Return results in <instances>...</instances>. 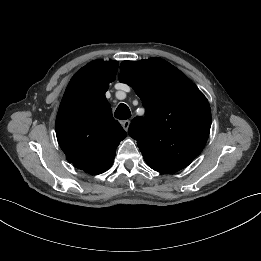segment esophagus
Segmentation results:
<instances>
[{
	"label": "esophagus",
	"instance_id": "1",
	"mask_svg": "<svg viewBox=\"0 0 261 261\" xmlns=\"http://www.w3.org/2000/svg\"><path fill=\"white\" fill-rule=\"evenodd\" d=\"M121 124H122V127H123L126 131H128L129 126H130V120H125V121H123Z\"/></svg>",
	"mask_w": 261,
	"mask_h": 261
}]
</instances>
